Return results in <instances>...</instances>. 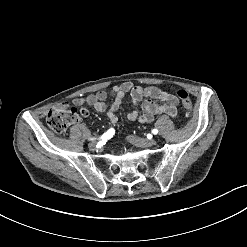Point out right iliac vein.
<instances>
[{
  "instance_id": "obj_1",
  "label": "right iliac vein",
  "mask_w": 247,
  "mask_h": 247,
  "mask_svg": "<svg viewBox=\"0 0 247 247\" xmlns=\"http://www.w3.org/2000/svg\"><path fill=\"white\" fill-rule=\"evenodd\" d=\"M89 148H90L91 150H95V149L97 148V144H96L95 142H91V143L89 144Z\"/></svg>"
}]
</instances>
